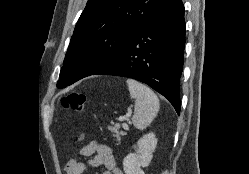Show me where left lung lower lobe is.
<instances>
[{
    "label": "left lung lower lobe",
    "instance_id": "obj_1",
    "mask_svg": "<svg viewBox=\"0 0 249 174\" xmlns=\"http://www.w3.org/2000/svg\"><path fill=\"white\" fill-rule=\"evenodd\" d=\"M184 45L182 0H162L120 55L96 74L141 81L165 96L179 114Z\"/></svg>",
    "mask_w": 249,
    "mask_h": 174
}]
</instances>
